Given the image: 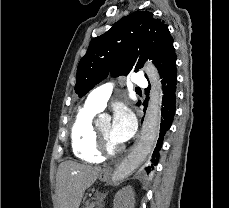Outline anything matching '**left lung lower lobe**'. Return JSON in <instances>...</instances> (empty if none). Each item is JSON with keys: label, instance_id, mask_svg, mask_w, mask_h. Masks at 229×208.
<instances>
[{"label": "left lung lower lobe", "instance_id": "obj_1", "mask_svg": "<svg viewBox=\"0 0 229 208\" xmlns=\"http://www.w3.org/2000/svg\"><path fill=\"white\" fill-rule=\"evenodd\" d=\"M176 60L172 61L168 70L162 77V90H163V100H162V118L160 124V134L153 152L152 158L150 160V166L146 168L149 173L150 169L157 165L159 160V150L162 147L163 137L167 130L171 127L173 116L175 114V102H176V84H177V72L175 66ZM145 106L144 112L147 107V99L143 102Z\"/></svg>", "mask_w": 229, "mask_h": 208}]
</instances>
